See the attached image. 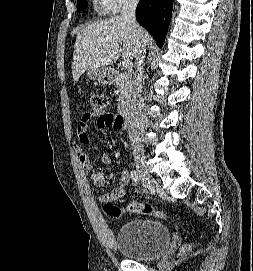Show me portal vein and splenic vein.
Listing matches in <instances>:
<instances>
[{"label":"portal vein and splenic vein","mask_w":253,"mask_h":271,"mask_svg":"<svg viewBox=\"0 0 253 271\" xmlns=\"http://www.w3.org/2000/svg\"><path fill=\"white\" fill-rule=\"evenodd\" d=\"M122 65L125 69H130L133 66V63L130 60H124Z\"/></svg>","instance_id":"obj_1"}]
</instances>
